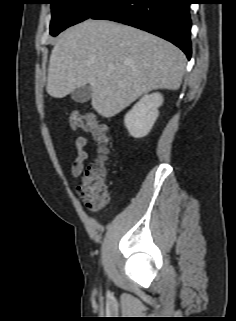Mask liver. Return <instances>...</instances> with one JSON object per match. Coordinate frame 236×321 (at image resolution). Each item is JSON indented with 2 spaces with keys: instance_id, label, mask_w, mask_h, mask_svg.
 <instances>
[{
  "instance_id": "1",
  "label": "liver",
  "mask_w": 236,
  "mask_h": 321,
  "mask_svg": "<svg viewBox=\"0 0 236 321\" xmlns=\"http://www.w3.org/2000/svg\"><path fill=\"white\" fill-rule=\"evenodd\" d=\"M185 66L184 53L160 37L113 21L86 20L59 36L46 90L63 98L89 84L92 107L108 118L149 91L177 90Z\"/></svg>"
}]
</instances>
